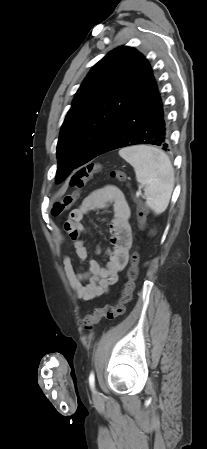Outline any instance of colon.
I'll return each instance as SVG.
<instances>
[{
    "mask_svg": "<svg viewBox=\"0 0 207 449\" xmlns=\"http://www.w3.org/2000/svg\"><path fill=\"white\" fill-rule=\"evenodd\" d=\"M102 169L100 163H91L87 166L79 168L70 179V186L73 190L66 193L61 200L55 204L53 213L60 215L66 210L70 209L77 201L81 189L92 178V176ZM111 176L122 183H127L128 179L125 173L121 170H113ZM137 204V218L140 224H143L146 211L144 204L140 198H136ZM140 261V254L135 250L130 258V266L127 272V281L124 285L122 295L116 305H106L102 308L96 309L92 314H88L83 319V326L86 330H91L95 324L101 319L114 320L124 314L125 306L130 302L132 293L135 288V281L138 277V266Z\"/></svg>",
    "mask_w": 207,
    "mask_h": 449,
    "instance_id": "obj_1",
    "label": "colon"
}]
</instances>
